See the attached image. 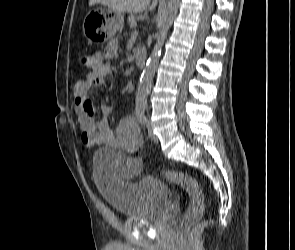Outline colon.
<instances>
[{
    "mask_svg": "<svg viewBox=\"0 0 295 250\" xmlns=\"http://www.w3.org/2000/svg\"><path fill=\"white\" fill-rule=\"evenodd\" d=\"M82 66L89 67L93 62L92 54L86 53L81 56ZM160 173L168 180L183 186L191 199V205L182 217V223L187 224L199 218L204 211V195L198 182L191 176L173 170L160 169Z\"/></svg>",
    "mask_w": 295,
    "mask_h": 250,
    "instance_id": "obj_1",
    "label": "colon"
}]
</instances>
